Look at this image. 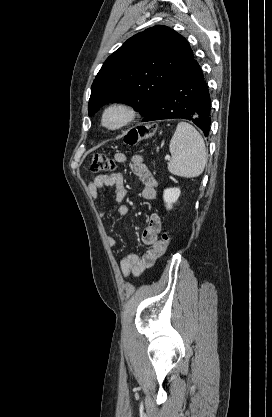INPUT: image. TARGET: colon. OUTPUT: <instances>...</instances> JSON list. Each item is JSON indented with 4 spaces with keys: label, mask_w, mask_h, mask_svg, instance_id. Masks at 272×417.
Here are the masks:
<instances>
[{
    "label": "colon",
    "mask_w": 272,
    "mask_h": 417,
    "mask_svg": "<svg viewBox=\"0 0 272 417\" xmlns=\"http://www.w3.org/2000/svg\"><path fill=\"white\" fill-rule=\"evenodd\" d=\"M156 132V126L153 124L141 125L134 129H131L124 137V142L127 145L134 146L145 138H148ZM114 162L104 154H95L92 157L89 168L92 172H108L114 169ZM161 244L165 247L168 246L170 241V235L168 232H164L161 236Z\"/></svg>",
    "instance_id": "colon-1"
}]
</instances>
